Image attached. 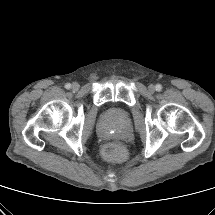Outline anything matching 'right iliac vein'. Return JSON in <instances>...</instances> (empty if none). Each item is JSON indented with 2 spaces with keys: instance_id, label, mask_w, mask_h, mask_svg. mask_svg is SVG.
<instances>
[{
  "instance_id": "63e3f726",
  "label": "right iliac vein",
  "mask_w": 215,
  "mask_h": 215,
  "mask_svg": "<svg viewBox=\"0 0 215 215\" xmlns=\"http://www.w3.org/2000/svg\"><path fill=\"white\" fill-rule=\"evenodd\" d=\"M79 88H80V85L77 82L72 84V89L73 90L77 91Z\"/></svg>"
}]
</instances>
